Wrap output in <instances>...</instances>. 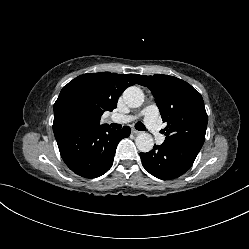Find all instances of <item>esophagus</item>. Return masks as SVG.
Returning a JSON list of instances; mask_svg holds the SVG:
<instances>
[{
  "label": "esophagus",
  "instance_id": "esophagus-1",
  "mask_svg": "<svg viewBox=\"0 0 249 249\" xmlns=\"http://www.w3.org/2000/svg\"><path fill=\"white\" fill-rule=\"evenodd\" d=\"M131 131H132L133 134H136V135L141 133V131L136 130L135 128H132Z\"/></svg>",
  "mask_w": 249,
  "mask_h": 249
}]
</instances>
